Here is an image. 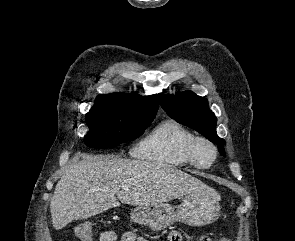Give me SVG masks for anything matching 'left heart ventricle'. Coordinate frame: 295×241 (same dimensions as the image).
I'll return each mask as SVG.
<instances>
[{
  "label": "left heart ventricle",
  "instance_id": "obj_1",
  "mask_svg": "<svg viewBox=\"0 0 295 241\" xmlns=\"http://www.w3.org/2000/svg\"><path fill=\"white\" fill-rule=\"evenodd\" d=\"M197 159L202 164L210 163L212 159L211 149L205 144H200L197 148Z\"/></svg>",
  "mask_w": 295,
  "mask_h": 241
}]
</instances>
